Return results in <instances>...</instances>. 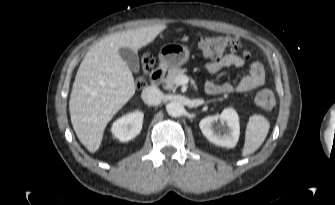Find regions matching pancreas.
<instances>
[{"instance_id": "1", "label": "pancreas", "mask_w": 335, "mask_h": 205, "mask_svg": "<svg viewBox=\"0 0 335 205\" xmlns=\"http://www.w3.org/2000/svg\"><path fill=\"white\" fill-rule=\"evenodd\" d=\"M186 69H181L178 67H173L168 70V74L164 79L166 89H175L178 86L176 79L180 76H183L186 72Z\"/></svg>"}]
</instances>
